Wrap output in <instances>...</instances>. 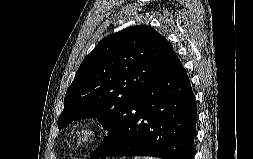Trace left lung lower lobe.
<instances>
[{
    "instance_id": "left-lung-lower-lobe-1",
    "label": "left lung lower lobe",
    "mask_w": 253,
    "mask_h": 159,
    "mask_svg": "<svg viewBox=\"0 0 253 159\" xmlns=\"http://www.w3.org/2000/svg\"><path fill=\"white\" fill-rule=\"evenodd\" d=\"M197 108L189 78L177 55L124 111L111 136L91 159L153 156L194 159Z\"/></svg>"
}]
</instances>
